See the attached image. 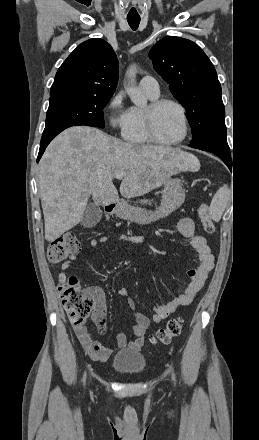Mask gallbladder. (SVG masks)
<instances>
[{
    "instance_id": "obj_1",
    "label": "gallbladder",
    "mask_w": 259,
    "mask_h": 440,
    "mask_svg": "<svg viewBox=\"0 0 259 440\" xmlns=\"http://www.w3.org/2000/svg\"><path fill=\"white\" fill-rule=\"evenodd\" d=\"M102 218V210L95 203H89L81 219L82 226L91 228L96 226Z\"/></svg>"
}]
</instances>
